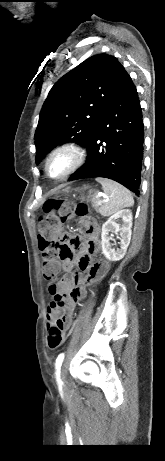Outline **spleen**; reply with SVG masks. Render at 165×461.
<instances>
[{
  "instance_id": "spleen-1",
  "label": "spleen",
  "mask_w": 165,
  "mask_h": 461,
  "mask_svg": "<svg viewBox=\"0 0 165 461\" xmlns=\"http://www.w3.org/2000/svg\"><path fill=\"white\" fill-rule=\"evenodd\" d=\"M103 187L108 201L101 206L100 213L103 216H109L120 209L133 206L134 199L131 192L124 186L109 179H96Z\"/></svg>"
}]
</instances>
